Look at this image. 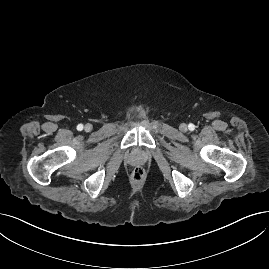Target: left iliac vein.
Instances as JSON below:
<instances>
[{
  "label": "left iliac vein",
  "mask_w": 269,
  "mask_h": 269,
  "mask_svg": "<svg viewBox=\"0 0 269 269\" xmlns=\"http://www.w3.org/2000/svg\"><path fill=\"white\" fill-rule=\"evenodd\" d=\"M180 130H181L182 132H186V131L188 130V126H187L185 123H182V124L180 125Z\"/></svg>",
  "instance_id": "obj_1"
}]
</instances>
